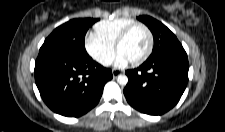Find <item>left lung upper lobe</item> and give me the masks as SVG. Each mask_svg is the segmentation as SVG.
<instances>
[{"instance_id": "left-lung-upper-lobe-1", "label": "left lung upper lobe", "mask_w": 225, "mask_h": 132, "mask_svg": "<svg viewBox=\"0 0 225 132\" xmlns=\"http://www.w3.org/2000/svg\"><path fill=\"white\" fill-rule=\"evenodd\" d=\"M138 19L149 27L154 37V48L148 59H154L177 51H185L174 33L164 24L150 16H139Z\"/></svg>"}]
</instances>
